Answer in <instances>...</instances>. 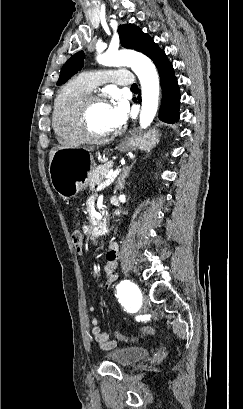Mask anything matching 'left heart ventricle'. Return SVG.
<instances>
[{"instance_id": "1", "label": "left heart ventricle", "mask_w": 243, "mask_h": 409, "mask_svg": "<svg viewBox=\"0 0 243 409\" xmlns=\"http://www.w3.org/2000/svg\"><path fill=\"white\" fill-rule=\"evenodd\" d=\"M109 104L105 101L93 102L88 110V125L92 133L101 135L110 132L108 125Z\"/></svg>"}]
</instances>
